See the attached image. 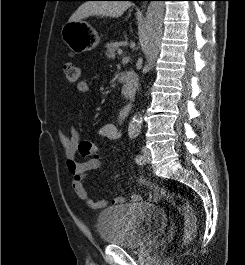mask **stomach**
Wrapping results in <instances>:
<instances>
[{
    "label": "stomach",
    "instance_id": "obj_1",
    "mask_svg": "<svg viewBox=\"0 0 245 265\" xmlns=\"http://www.w3.org/2000/svg\"><path fill=\"white\" fill-rule=\"evenodd\" d=\"M61 36L64 43L75 54L90 51L100 42L97 31L82 20L65 23L61 30Z\"/></svg>",
    "mask_w": 245,
    "mask_h": 265
}]
</instances>
